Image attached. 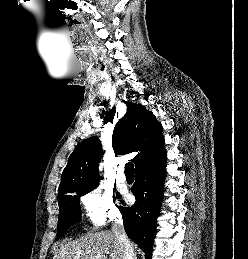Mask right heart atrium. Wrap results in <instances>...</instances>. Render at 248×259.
<instances>
[{
	"mask_svg": "<svg viewBox=\"0 0 248 259\" xmlns=\"http://www.w3.org/2000/svg\"><path fill=\"white\" fill-rule=\"evenodd\" d=\"M86 215L93 226L99 227L119 216L111 191L95 186L82 196Z\"/></svg>",
	"mask_w": 248,
	"mask_h": 259,
	"instance_id": "d8ad5b80",
	"label": "right heart atrium"
}]
</instances>
